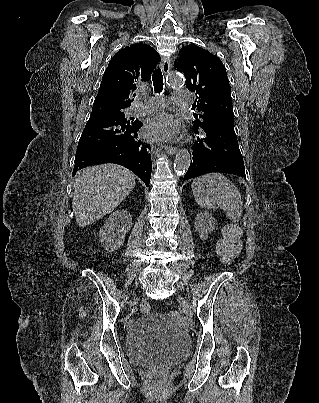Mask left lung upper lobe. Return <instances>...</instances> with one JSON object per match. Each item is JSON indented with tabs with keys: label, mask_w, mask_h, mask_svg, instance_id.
Instances as JSON below:
<instances>
[{
	"label": "left lung upper lobe",
	"mask_w": 319,
	"mask_h": 403,
	"mask_svg": "<svg viewBox=\"0 0 319 403\" xmlns=\"http://www.w3.org/2000/svg\"><path fill=\"white\" fill-rule=\"evenodd\" d=\"M174 66L184 73L186 87L198 95L194 108L202 114L195 116L194 128L218 118L234 117L227 72L217 56L198 46H186Z\"/></svg>",
	"instance_id": "1"
}]
</instances>
